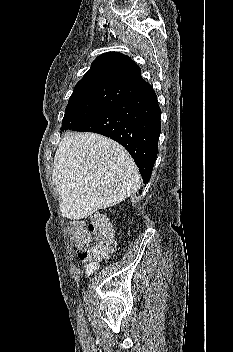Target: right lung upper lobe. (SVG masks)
<instances>
[{"label":"right lung upper lobe","mask_w":233,"mask_h":352,"mask_svg":"<svg viewBox=\"0 0 233 352\" xmlns=\"http://www.w3.org/2000/svg\"><path fill=\"white\" fill-rule=\"evenodd\" d=\"M99 85H120L133 88L137 92L151 86L141 77L139 66L119 52H107L98 56L74 89Z\"/></svg>","instance_id":"1"}]
</instances>
